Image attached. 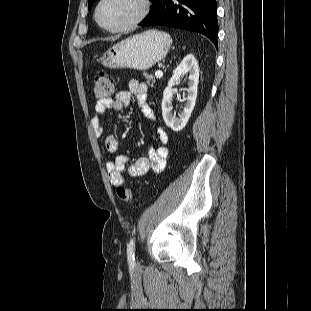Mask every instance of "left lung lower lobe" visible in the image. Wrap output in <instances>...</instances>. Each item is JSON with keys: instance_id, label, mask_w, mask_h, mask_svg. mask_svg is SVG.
I'll return each mask as SVG.
<instances>
[{"instance_id": "left-lung-lower-lobe-1", "label": "left lung lower lobe", "mask_w": 311, "mask_h": 311, "mask_svg": "<svg viewBox=\"0 0 311 311\" xmlns=\"http://www.w3.org/2000/svg\"><path fill=\"white\" fill-rule=\"evenodd\" d=\"M152 8L141 26L162 25L208 37L217 46L216 0H150Z\"/></svg>"}]
</instances>
